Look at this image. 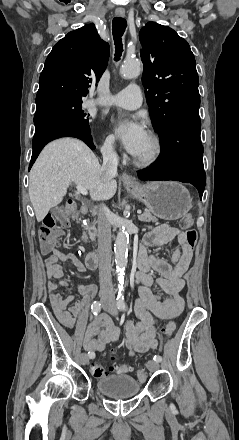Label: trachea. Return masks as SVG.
I'll use <instances>...</instances> for the list:
<instances>
[{
	"label": "trachea",
	"instance_id": "1",
	"mask_svg": "<svg viewBox=\"0 0 239 440\" xmlns=\"http://www.w3.org/2000/svg\"><path fill=\"white\" fill-rule=\"evenodd\" d=\"M127 27V21L121 17H115L112 21V33L113 39L115 42V61L120 59V56L123 52V44H122V36Z\"/></svg>",
	"mask_w": 239,
	"mask_h": 440
}]
</instances>
